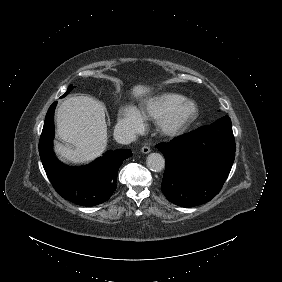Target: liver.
<instances>
[{
    "label": "liver",
    "mask_w": 282,
    "mask_h": 282,
    "mask_svg": "<svg viewBox=\"0 0 282 282\" xmlns=\"http://www.w3.org/2000/svg\"><path fill=\"white\" fill-rule=\"evenodd\" d=\"M150 92V88L136 85L132 89L135 97ZM57 136L72 144L75 150L56 142L55 151L64 161L87 162L100 156L107 146V125L104 108L86 96L65 100L56 113Z\"/></svg>",
    "instance_id": "6515ba94"
}]
</instances>
